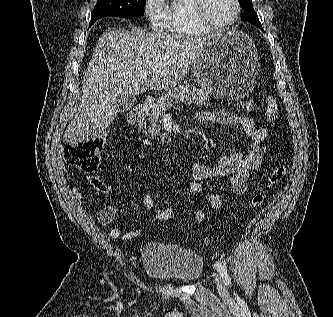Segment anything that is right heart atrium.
<instances>
[{"mask_svg":"<svg viewBox=\"0 0 333 317\" xmlns=\"http://www.w3.org/2000/svg\"><path fill=\"white\" fill-rule=\"evenodd\" d=\"M143 11L154 30L165 28L166 14L162 0H145Z\"/></svg>","mask_w":333,"mask_h":317,"instance_id":"1","label":"right heart atrium"}]
</instances>
